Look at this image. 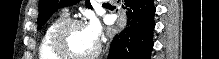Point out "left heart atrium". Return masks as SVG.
Listing matches in <instances>:
<instances>
[{
	"instance_id": "left-heart-atrium-1",
	"label": "left heart atrium",
	"mask_w": 219,
	"mask_h": 59,
	"mask_svg": "<svg viewBox=\"0 0 219 59\" xmlns=\"http://www.w3.org/2000/svg\"><path fill=\"white\" fill-rule=\"evenodd\" d=\"M86 33L88 36L94 41L98 42L99 36H100V26L95 20H91L86 26H85Z\"/></svg>"
}]
</instances>
